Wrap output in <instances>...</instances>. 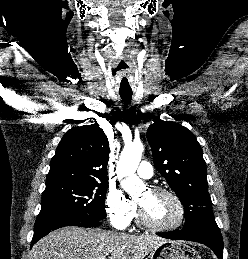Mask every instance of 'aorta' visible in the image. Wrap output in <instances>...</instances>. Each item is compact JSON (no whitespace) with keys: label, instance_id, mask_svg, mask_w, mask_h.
Here are the masks:
<instances>
[{"label":"aorta","instance_id":"1","mask_svg":"<svg viewBox=\"0 0 248 259\" xmlns=\"http://www.w3.org/2000/svg\"><path fill=\"white\" fill-rule=\"evenodd\" d=\"M144 146L141 142L126 145L117 164V177L123 189L132 197L144 188V184L135 172L140 163Z\"/></svg>","mask_w":248,"mask_h":259}]
</instances>
